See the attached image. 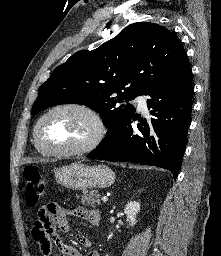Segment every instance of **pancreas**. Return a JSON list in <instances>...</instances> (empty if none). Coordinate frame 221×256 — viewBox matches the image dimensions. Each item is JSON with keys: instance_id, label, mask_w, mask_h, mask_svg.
<instances>
[{"instance_id": "obj_1", "label": "pancreas", "mask_w": 221, "mask_h": 256, "mask_svg": "<svg viewBox=\"0 0 221 256\" xmlns=\"http://www.w3.org/2000/svg\"><path fill=\"white\" fill-rule=\"evenodd\" d=\"M99 197L100 195L97 191H91L89 193L85 191L82 195L81 202L82 204H86L91 207H96L101 204Z\"/></svg>"}]
</instances>
